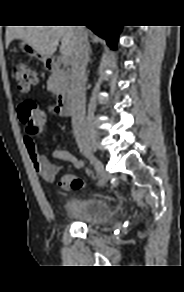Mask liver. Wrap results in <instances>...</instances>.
Segmentation results:
<instances>
[{
	"label": "liver",
	"mask_w": 184,
	"mask_h": 292,
	"mask_svg": "<svg viewBox=\"0 0 184 292\" xmlns=\"http://www.w3.org/2000/svg\"><path fill=\"white\" fill-rule=\"evenodd\" d=\"M76 26H9L6 29V45L20 39L39 52L51 57L61 40L60 52L71 60L78 33Z\"/></svg>",
	"instance_id": "liver-1"
}]
</instances>
